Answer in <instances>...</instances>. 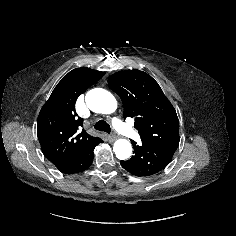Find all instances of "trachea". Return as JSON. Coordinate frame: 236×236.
Masks as SVG:
<instances>
[{
  "label": "trachea",
  "mask_w": 236,
  "mask_h": 236,
  "mask_svg": "<svg viewBox=\"0 0 236 236\" xmlns=\"http://www.w3.org/2000/svg\"><path fill=\"white\" fill-rule=\"evenodd\" d=\"M94 128L98 131H103L106 133L111 132V128H110L109 124L104 120L97 121L96 124L94 125Z\"/></svg>",
  "instance_id": "obj_1"
}]
</instances>
